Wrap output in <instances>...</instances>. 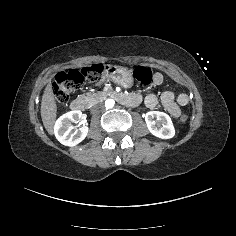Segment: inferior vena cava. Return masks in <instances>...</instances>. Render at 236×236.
Wrapping results in <instances>:
<instances>
[{
	"instance_id": "1",
	"label": "inferior vena cava",
	"mask_w": 236,
	"mask_h": 236,
	"mask_svg": "<svg viewBox=\"0 0 236 236\" xmlns=\"http://www.w3.org/2000/svg\"><path fill=\"white\" fill-rule=\"evenodd\" d=\"M91 111L93 113H102V112H104V106H103V104H96L92 107Z\"/></svg>"
}]
</instances>
